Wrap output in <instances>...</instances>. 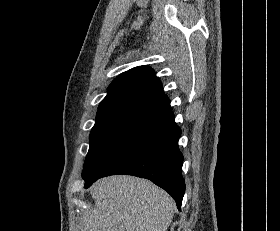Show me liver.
<instances>
[{"mask_svg":"<svg viewBox=\"0 0 280 231\" xmlns=\"http://www.w3.org/2000/svg\"><path fill=\"white\" fill-rule=\"evenodd\" d=\"M90 189L95 205L81 217V231H166L171 223L173 199L148 179L112 175Z\"/></svg>","mask_w":280,"mask_h":231,"instance_id":"liver-1","label":"liver"}]
</instances>
